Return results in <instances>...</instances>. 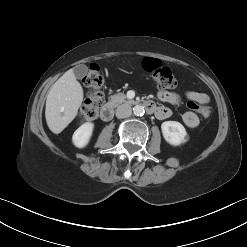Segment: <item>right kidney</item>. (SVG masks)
Wrapping results in <instances>:
<instances>
[{
	"mask_svg": "<svg viewBox=\"0 0 247 247\" xmlns=\"http://www.w3.org/2000/svg\"><path fill=\"white\" fill-rule=\"evenodd\" d=\"M94 124L86 122L82 124L73 134L72 142L77 148H84L90 141Z\"/></svg>",
	"mask_w": 247,
	"mask_h": 247,
	"instance_id": "right-kidney-1",
	"label": "right kidney"
}]
</instances>
